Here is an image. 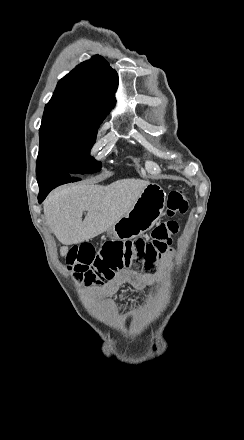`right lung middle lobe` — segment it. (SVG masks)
Instances as JSON below:
<instances>
[{"mask_svg": "<svg viewBox=\"0 0 244 440\" xmlns=\"http://www.w3.org/2000/svg\"><path fill=\"white\" fill-rule=\"evenodd\" d=\"M108 113L80 105L47 104L39 130L37 177L100 171L101 163L90 156V149Z\"/></svg>", "mask_w": 244, "mask_h": 440, "instance_id": "right-lung-middle-lobe-1", "label": "right lung middle lobe"}]
</instances>
